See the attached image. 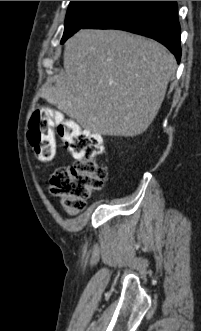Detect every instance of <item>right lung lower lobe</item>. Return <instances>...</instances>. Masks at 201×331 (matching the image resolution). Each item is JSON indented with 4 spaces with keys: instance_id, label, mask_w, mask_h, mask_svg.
Masks as SVG:
<instances>
[{
    "instance_id": "obj_1",
    "label": "right lung lower lobe",
    "mask_w": 201,
    "mask_h": 331,
    "mask_svg": "<svg viewBox=\"0 0 201 331\" xmlns=\"http://www.w3.org/2000/svg\"><path fill=\"white\" fill-rule=\"evenodd\" d=\"M82 28L119 29L157 40L180 62L176 1H113Z\"/></svg>"
}]
</instances>
